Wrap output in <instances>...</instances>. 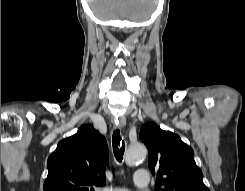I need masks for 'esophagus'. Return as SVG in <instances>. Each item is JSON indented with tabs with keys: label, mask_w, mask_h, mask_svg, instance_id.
Listing matches in <instances>:
<instances>
[{
	"label": "esophagus",
	"mask_w": 245,
	"mask_h": 191,
	"mask_svg": "<svg viewBox=\"0 0 245 191\" xmlns=\"http://www.w3.org/2000/svg\"><path fill=\"white\" fill-rule=\"evenodd\" d=\"M126 124V118L121 116L119 119L115 120V125L118 127H123Z\"/></svg>",
	"instance_id": "obj_1"
}]
</instances>
